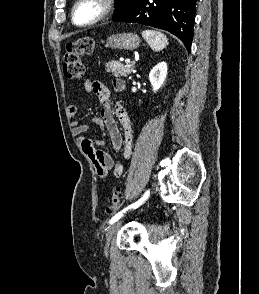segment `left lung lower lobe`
<instances>
[{"mask_svg":"<svg viewBox=\"0 0 259 294\" xmlns=\"http://www.w3.org/2000/svg\"><path fill=\"white\" fill-rule=\"evenodd\" d=\"M195 9L196 0H136L132 8L113 17V21L139 23L169 31L190 51Z\"/></svg>","mask_w":259,"mask_h":294,"instance_id":"left-lung-lower-lobe-1","label":"left lung lower lobe"}]
</instances>
